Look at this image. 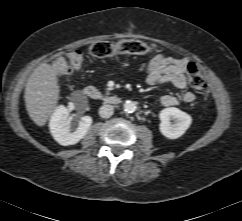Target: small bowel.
Returning <instances> with one entry per match:
<instances>
[{
	"label": "small bowel",
	"mask_w": 242,
	"mask_h": 221,
	"mask_svg": "<svg viewBox=\"0 0 242 221\" xmlns=\"http://www.w3.org/2000/svg\"><path fill=\"white\" fill-rule=\"evenodd\" d=\"M189 61L187 58H173L162 54L156 55L141 64L138 72L145 76L148 84L156 85L170 83L177 89L183 91L182 101L192 103L195 95L187 90L186 68ZM164 106H174L178 103V98L172 94H165L160 98Z\"/></svg>",
	"instance_id": "c3829d8e"
}]
</instances>
